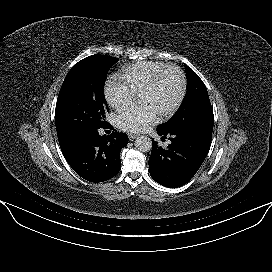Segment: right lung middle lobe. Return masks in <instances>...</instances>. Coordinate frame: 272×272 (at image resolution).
Segmentation results:
<instances>
[{"label":"right lung middle lobe","instance_id":"dd1d6c3e","mask_svg":"<svg viewBox=\"0 0 272 272\" xmlns=\"http://www.w3.org/2000/svg\"><path fill=\"white\" fill-rule=\"evenodd\" d=\"M117 58L92 55L76 63L60 89L55 123L58 137L81 138L106 125L104 95L107 73Z\"/></svg>","mask_w":272,"mask_h":272}]
</instances>
